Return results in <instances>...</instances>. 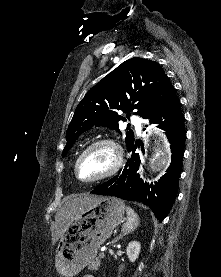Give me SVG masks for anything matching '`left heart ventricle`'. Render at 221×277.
Here are the masks:
<instances>
[{
	"instance_id": "left-heart-ventricle-1",
	"label": "left heart ventricle",
	"mask_w": 221,
	"mask_h": 277,
	"mask_svg": "<svg viewBox=\"0 0 221 277\" xmlns=\"http://www.w3.org/2000/svg\"><path fill=\"white\" fill-rule=\"evenodd\" d=\"M114 154L107 146H99L88 152L80 162L79 175L83 179H93L110 169Z\"/></svg>"
}]
</instances>
